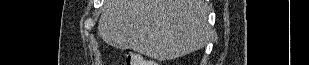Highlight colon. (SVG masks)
I'll list each match as a JSON object with an SVG mask.
<instances>
[{
	"label": "colon",
	"instance_id": "5ec220e1",
	"mask_svg": "<svg viewBox=\"0 0 309 65\" xmlns=\"http://www.w3.org/2000/svg\"><path fill=\"white\" fill-rule=\"evenodd\" d=\"M126 65H153L151 61H145L140 56L135 55L133 53L127 54V59L125 62Z\"/></svg>",
	"mask_w": 309,
	"mask_h": 65
}]
</instances>
